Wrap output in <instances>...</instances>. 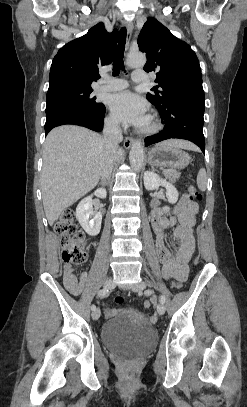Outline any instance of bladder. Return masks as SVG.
<instances>
[{"label": "bladder", "instance_id": "bladder-1", "mask_svg": "<svg viewBox=\"0 0 247 407\" xmlns=\"http://www.w3.org/2000/svg\"><path fill=\"white\" fill-rule=\"evenodd\" d=\"M129 312H136V309L127 307L113 314L103 324L101 338L104 346L114 354L126 359H140L156 346L157 332L147 322L131 321Z\"/></svg>", "mask_w": 247, "mask_h": 407}]
</instances>
